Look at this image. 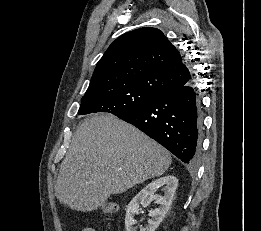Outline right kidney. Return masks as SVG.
<instances>
[{
	"mask_svg": "<svg viewBox=\"0 0 261 231\" xmlns=\"http://www.w3.org/2000/svg\"><path fill=\"white\" fill-rule=\"evenodd\" d=\"M164 187V196L155 195L156 189ZM178 186V180L175 176L167 175L152 181L143 188L129 203L126 210L125 228L126 231H136L135 215L140 211L139 205L147 207L153 200L159 204V208L149 212L150 219L148 225L140 231H155L164 219L166 213L172 204L175 191Z\"/></svg>",
	"mask_w": 261,
	"mask_h": 231,
	"instance_id": "right-kidney-1",
	"label": "right kidney"
}]
</instances>
